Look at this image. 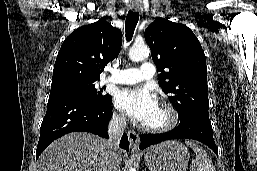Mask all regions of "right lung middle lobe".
<instances>
[{
    "label": "right lung middle lobe",
    "instance_id": "dd1d6c3e",
    "mask_svg": "<svg viewBox=\"0 0 257 171\" xmlns=\"http://www.w3.org/2000/svg\"><path fill=\"white\" fill-rule=\"evenodd\" d=\"M103 90L99 92L95 89V82L91 83H70L62 87L51 88L49 98L64 96V95H77L89 98L96 102H106L111 99L108 94H102Z\"/></svg>",
    "mask_w": 257,
    "mask_h": 171
}]
</instances>
